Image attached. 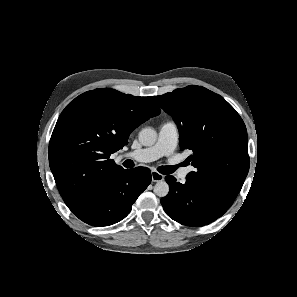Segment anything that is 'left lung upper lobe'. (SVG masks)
Wrapping results in <instances>:
<instances>
[{"label":"left lung upper lobe","instance_id":"1","mask_svg":"<svg viewBox=\"0 0 297 297\" xmlns=\"http://www.w3.org/2000/svg\"><path fill=\"white\" fill-rule=\"evenodd\" d=\"M153 98L174 118L181 150L193 151L186 161L196 171L188 173L187 182L230 208L250 164L247 131L239 114L222 96L201 86Z\"/></svg>","mask_w":297,"mask_h":297}]
</instances>
